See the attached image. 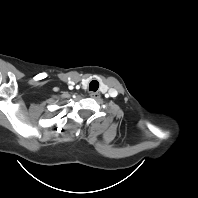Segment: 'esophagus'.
<instances>
[{"instance_id":"obj_1","label":"esophagus","mask_w":198,"mask_h":198,"mask_svg":"<svg viewBox=\"0 0 198 198\" xmlns=\"http://www.w3.org/2000/svg\"><path fill=\"white\" fill-rule=\"evenodd\" d=\"M90 97L94 99H99L100 98V93L98 92H90Z\"/></svg>"}]
</instances>
